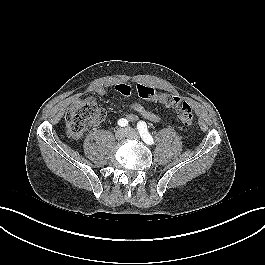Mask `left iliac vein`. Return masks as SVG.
Returning a JSON list of instances; mask_svg holds the SVG:
<instances>
[{
    "instance_id": "4c4485c4",
    "label": "left iliac vein",
    "mask_w": 265,
    "mask_h": 265,
    "mask_svg": "<svg viewBox=\"0 0 265 265\" xmlns=\"http://www.w3.org/2000/svg\"><path fill=\"white\" fill-rule=\"evenodd\" d=\"M125 130L127 131L128 137L135 138V139L139 137L138 132L134 130L133 128L128 127Z\"/></svg>"
}]
</instances>
